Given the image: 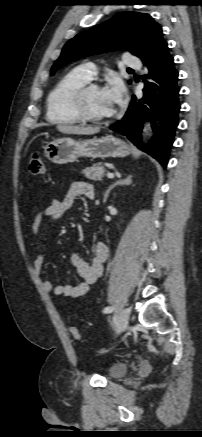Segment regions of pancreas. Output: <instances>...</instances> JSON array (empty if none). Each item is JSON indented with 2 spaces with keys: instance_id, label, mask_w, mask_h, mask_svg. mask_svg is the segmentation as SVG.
<instances>
[{
  "instance_id": "1",
  "label": "pancreas",
  "mask_w": 202,
  "mask_h": 437,
  "mask_svg": "<svg viewBox=\"0 0 202 437\" xmlns=\"http://www.w3.org/2000/svg\"><path fill=\"white\" fill-rule=\"evenodd\" d=\"M105 168L100 163L95 164L92 167L85 168L82 172L86 178L90 180H101L105 173Z\"/></svg>"
}]
</instances>
